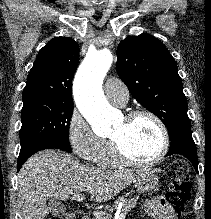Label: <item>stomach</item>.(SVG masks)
I'll return each mask as SVG.
<instances>
[{
    "label": "stomach",
    "mask_w": 211,
    "mask_h": 219,
    "mask_svg": "<svg viewBox=\"0 0 211 219\" xmlns=\"http://www.w3.org/2000/svg\"><path fill=\"white\" fill-rule=\"evenodd\" d=\"M159 178L155 171L144 169V172L135 182V188L143 193L155 189L158 186Z\"/></svg>",
    "instance_id": "obj_1"
}]
</instances>
